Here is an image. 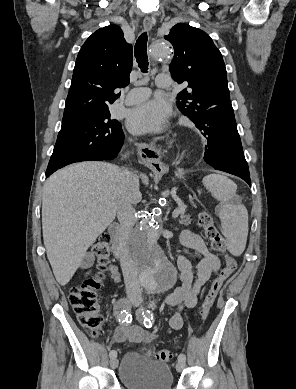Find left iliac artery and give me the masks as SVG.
<instances>
[{"label":"left iliac artery","mask_w":296,"mask_h":389,"mask_svg":"<svg viewBox=\"0 0 296 389\" xmlns=\"http://www.w3.org/2000/svg\"><path fill=\"white\" fill-rule=\"evenodd\" d=\"M137 317L138 319L140 320H143V323L144 325L146 326V328H150L152 326V322H153V314L150 310H143V311H138L137 312ZM178 360L180 361H184L186 360V356L185 354L181 353L179 356H178Z\"/></svg>","instance_id":"left-iliac-artery-1"}]
</instances>
